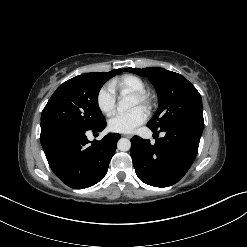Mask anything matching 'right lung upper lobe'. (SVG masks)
<instances>
[{
  "instance_id": "obj_1",
  "label": "right lung upper lobe",
  "mask_w": 247,
  "mask_h": 247,
  "mask_svg": "<svg viewBox=\"0 0 247 247\" xmlns=\"http://www.w3.org/2000/svg\"><path fill=\"white\" fill-rule=\"evenodd\" d=\"M120 71H122V69H115V70H112L110 72H103L104 74H107V75H117L119 73H121Z\"/></svg>"
}]
</instances>
